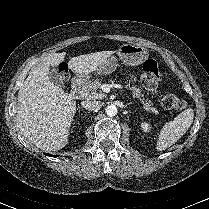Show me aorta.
<instances>
[{"label":"aorta","mask_w":209,"mask_h":209,"mask_svg":"<svg viewBox=\"0 0 209 209\" xmlns=\"http://www.w3.org/2000/svg\"><path fill=\"white\" fill-rule=\"evenodd\" d=\"M105 112L110 117L115 116L117 114V107L115 105H109L105 109Z\"/></svg>","instance_id":"1"}]
</instances>
